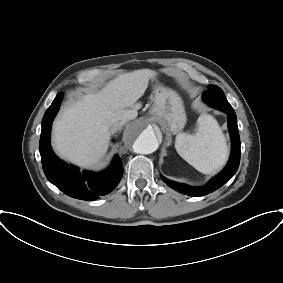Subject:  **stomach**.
<instances>
[{
  "label": "stomach",
  "mask_w": 283,
  "mask_h": 283,
  "mask_svg": "<svg viewBox=\"0 0 283 283\" xmlns=\"http://www.w3.org/2000/svg\"><path fill=\"white\" fill-rule=\"evenodd\" d=\"M151 115L163 120L171 132L178 133L186 124V114L181 97L173 90L156 86Z\"/></svg>",
  "instance_id": "obj_1"
}]
</instances>
